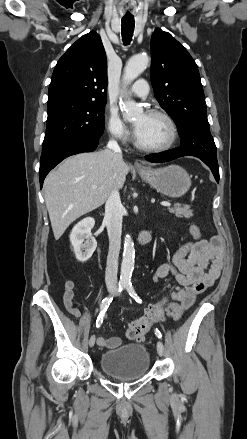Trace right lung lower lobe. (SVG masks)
<instances>
[{
  "label": "right lung lower lobe",
  "mask_w": 247,
  "mask_h": 439,
  "mask_svg": "<svg viewBox=\"0 0 247 439\" xmlns=\"http://www.w3.org/2000/svg\"><path fill=\"white\" fill-rule=\"evenodd\" d=\"M99 139H85L65 143L42 150L39 170L40 187L42 188L44 178L57 164L71 155L92 152L98 146Z\"/></svg>",
  "instance_id": "98d812e1"
}]
</instances>
